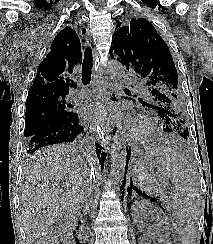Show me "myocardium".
Returning <instances> with one entry per match:
<instances>
[{
  "label": "myocardium",
  "mask_w": 213,
  "mask_h": 244,
  "mask_svg": "<svg viewBox=\"0 0 213 244\" xmlns=\"http://www.w3.org/2000/svg\"><path fill=\"white\" fill-rule=\"evenodd\" d=\"M153 132V123L146 116L138 115L129 124L126 136L128 139L140 141L149 137Z\"/></svg>",
  "instance_id": "obj_1"
}]
</instances>
